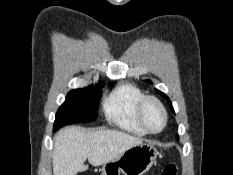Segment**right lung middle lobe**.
Here are the masks:
<instances>
[{"label":"right lung middle lobe","mask_w":233,"mask_h":175,"mask_svg":"<svg viewBox=\"0 0 233 175\" xmlns=\"http://www.w3.org/2000/svg\"><path fill=\"white\" fill-rule=\"evenodd\" d=\"M102 87L104 83L100 82L95 86L71 90L56 113L53 131L65 125L96 120Z\"/></svg>","instance_id":"obj_1"}]
</instances>
